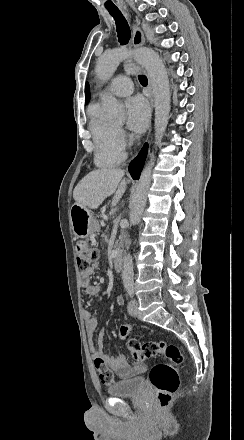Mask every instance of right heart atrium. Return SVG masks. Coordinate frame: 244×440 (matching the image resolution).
I'll use <instances>...</instances> for the list:
<instances>
[{"mask_svg": "<svg viewBox=\"0 0 244 440\" xmlns=\"http://www.w3.org/2000/svg\"><path fill=\"white\" fill-rule=\"evenodd\" d=\"M129 139L128 133L122 128H115L114 135L110 138L108 142V147L111 149L123 148Z\"/></svg>", "mask_w": 244, "mask_h": 440, "instance_id": "d8ad5b80", "label": "right heart atrium"}]
</instances>
